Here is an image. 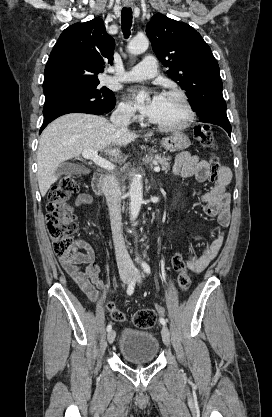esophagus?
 Segmentation results:
<instances>
[{"label": "esophagus", "instance_id": "34e87169", "mask_svg": "<svg viewBox=\"0 0 272 417\" xmlns=\"http://www.w3.org/2000/svg\"><path fill=\"white\" fill-rule=\"evenodd\" d=\"M126 6H130V4H126Z\"/></svg>", "mask_w": 272, "mask_h": 417}]
</instances>
